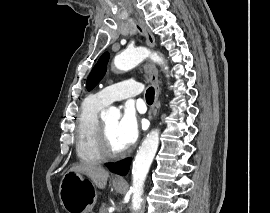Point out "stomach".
<instances>
[{"label":"stomach","mask_w":270,"mask_h":213,"mask_svg":"<svg viewBox=\"0 0 270 213\" xmlns=\"http://www.w3.org/2000/svg\"><path fill=\"white\" fill-rule=\"evenodd\" d=\"M113 187L120 193L125 190L124 185L113 183ZM59 198L67 213H90L96 203L97 194L83 174L68 171L60 181Z\"/></svg>","instance_id":"stomach-1"}]
</instances>
